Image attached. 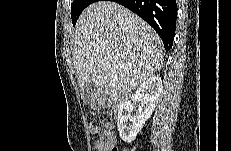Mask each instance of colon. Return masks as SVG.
<instances>
[{"label":"colon","mask_w":231,"mask_h":151,"mask_svg":"<svg viewBox=\"0 0 231 151\" xmlns=\"http://www.w3.org/2000/svg\"><path fill=\"white\" fill-rule=\"evenodd\" d=\"M102 139L106 142H109L112 139V134L110 129L107 126H103V136ZM112 151H116V149H113Z\"/></svg>","instance_id":"1"}]
</instances>
